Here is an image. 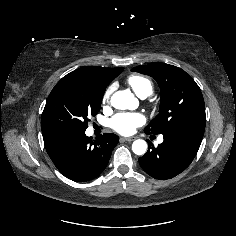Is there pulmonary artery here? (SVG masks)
Returning <instances> with one entry per match:
<instances>
[{"label": "pulmonary artery", "instance_id": "obj_1", "mask_svg": "<svg viewBox=\"0 0 236 236\" xmlns=\"http://www.w3.org/2000/svg\"><path fill=\"white\" fill-rule=\"evenodd\" d=\"M159 142H163V137L160 136L159 139H158Z\"/></svg>", "mask_w": 236, "mask_h": 236}]
</instances>
